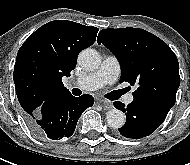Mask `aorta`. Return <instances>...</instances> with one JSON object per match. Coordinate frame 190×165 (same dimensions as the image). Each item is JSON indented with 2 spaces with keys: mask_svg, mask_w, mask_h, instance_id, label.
<instances>
[{
  "mask_svg": "<svg viewBox=\"0 0 190 165\" xmlns=\"http://www.w3.org/2000/svg\"><path fill=\"white\" fill-rule=\"evenodd\" d=\"M78 63L83 69L94 71L99 68L101 57L96 50L87 48L80 52ZM125 119V114L116 108L109 110L106 114L108 125L115 129L121 128L125 124Z\"/></svg>",
  "mask_w": 190,
  "mask_h": 165,
  "instance_id": "aorta-1",
  "label": "aorta"
}]
</instances>
